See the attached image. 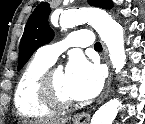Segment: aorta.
<instances>
[{
  "label": "aorta",
  "instance_id": "aorta-1",
  "mask_svg": "<svg viewBox=\"0 0 145 124\" xmlns=\"http://www.w3.org/2000/svg\"><path fill=\"white\" fill-rule=\"evenodd\" d=\"M83 22L89 23L98 32L107 46L113 68L120 72L126 60L122 26L106 11L95 8L71 10L60 17L61 25L67 27L77 26ZM120 107L119 99H111L96 111L90 124H112Z\"/></svg>",
  "mask_w": 145,
  "mask_h": 124
}]
</instances>
